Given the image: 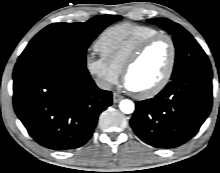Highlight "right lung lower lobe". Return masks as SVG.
Listing matches in <instances>:
<instances>
[{
	"label": "right lung lower lobe",
	"instance_id": "1",
	"mask_svg": "<svg viewBox=\"0 0 220 173\" xmlns=\"http://www.w3.org/2000/svg\"><path fill=\"white\" fill-rule=\"evenodd\" d=\"M13 80L17 116L49 149L83 146L112 104L111 92L99 89L85 66L60 56L17 62Z\"/></svg>",
	"mask_w": 220,
	"mask_h": 173
}]
</instances>
